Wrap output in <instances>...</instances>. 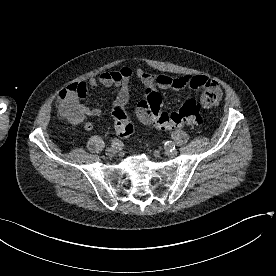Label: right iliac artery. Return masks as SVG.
<instances>
[{
    "label": "right iliac artery",
    "instance_id": "obj_1",
    "mask_svg": "<svg viewBox=\"0 0 276 276\" xmlns=\"http://www.w3.org/2000/svg\"><path fill=\"white\" fill-rule=\"evenodd\" d=\"M112 146L122 147V144H121V142H120L119 140L114 139V140L112 141Z\"/></svg>",
    "mask_w": 276,
    "mask_h": 276
}]
</instances>
